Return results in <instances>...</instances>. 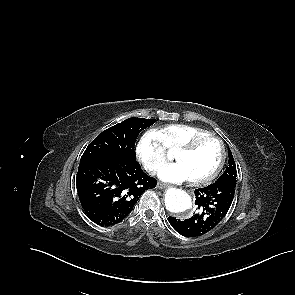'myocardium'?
<instances>
[{
    "label": "myocardium",
    "mask_w": 295,
    "mask_h": 295,
    "mask_svg": "<svg viewBox=\"0 0 295 295\" xmlns=\"http://www.w3.org/2000/svg\"><path fill=\"white\" fill-rule=\"evenodd\" d=\"M208 139H213L218 142L220 147V159L216 168L210 174L202 178L193 179V182L195 184H207L213 181L222 171L226 161V155H227L226 147L223 140L215 134L208 133V134L200 135L193 138L192 140H190L189 142H187L186 144H184L177 150V153H190L193 150H195L203 141Z\"/></svg>",
    "instance_id": "myocardium-1"
}]
</instances>
